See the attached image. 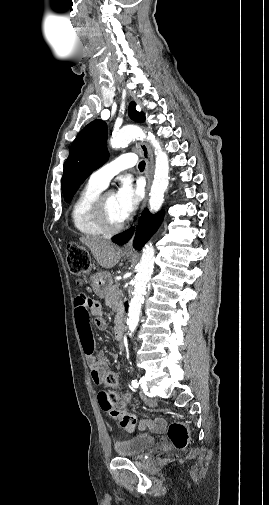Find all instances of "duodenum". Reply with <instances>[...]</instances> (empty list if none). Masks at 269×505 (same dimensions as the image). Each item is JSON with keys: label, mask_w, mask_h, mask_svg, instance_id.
Wrapping results in <instances>:
<instances>
[{"label": "duodenum", "mask_w": 269, "mask_h": 505, "mask_svg": "<svg viewBox=\"0 0 269 505\" xmlns=\"http://www.w3.org/2000/svg\"><path fill=\"white\" fill-rule=\"evenodd\" d=\"M124 332H125V324L122 319H119L115 325V336L119 342L123 340Z\"/></svg>", "instance_id": "obj_1"}]
</instances>
